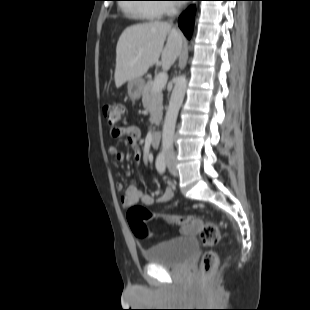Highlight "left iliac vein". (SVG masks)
<instances>
[{"instance_id": "4c4485c4", "label": "left iliac vein", "mask_w": 310, "mask_h": 310, "mask_svg": "<svg viewBox=\"0 0 310 310\" xmlns=\"http://www.w3.org/2000/svg\"><path fill=\"white\" fill-rule=\"evenodd\" d=\"M167 167L169 172L173 175V176H177L178 175V170L176 167V158L173 155H169L167 157Z\"/></svg>"}]
</instances>
